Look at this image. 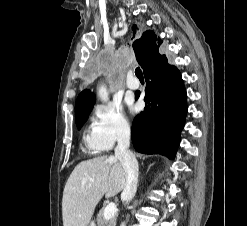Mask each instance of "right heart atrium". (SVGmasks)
<instances>
[{
    "instance_id": "right-heart-atrium-1",
    "label": "right heart atrium",
    "mask_w": 247,
    "mask_h": 226,
    "mask_svg": "<svg viewBox=\"0 0 247 226\" xmlns=\"http://www.w3.org/2000/svg\"><path fill=\"white\" fill-rule=\"evenodd\" d=\"M131 125L118 107H100L95 110L88 143L102 150H110L117 143L126 141Z\"/></svg>"
}]
</instances>
